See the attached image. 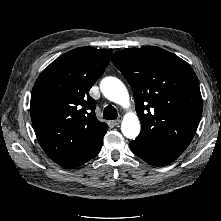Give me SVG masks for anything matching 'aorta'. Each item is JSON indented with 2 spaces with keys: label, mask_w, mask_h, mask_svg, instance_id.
Masks as SVG:
<instances>
[{
  "label": "aorta",
  "mask_w": 221,
  "mask_h": 221,
  "mask_svg": "<svg viewBox=\"0 0 221 221\" xmlns=\"http://www.w3.org/2000/svg\"><path fill=\"white\" fill-rule=\"evenodd\" d=\"M100 89L103 95L110 101L123 107L129 105V94L125 85L116 77H106L100 83ZM141 130L139 118L134 113L125 115L121 131L126 138L134 139Z\"/></svg>",
  "instance_id": "1"
}]
</instances>
